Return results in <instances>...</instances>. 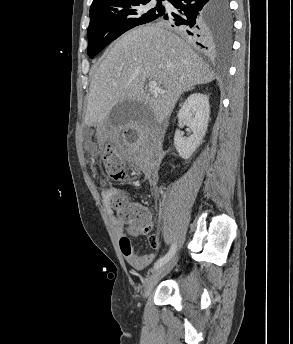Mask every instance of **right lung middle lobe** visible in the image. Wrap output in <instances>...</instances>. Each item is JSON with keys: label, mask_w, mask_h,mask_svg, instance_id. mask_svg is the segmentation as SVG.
Listing matches in <instances>:
<instances>
[{"label": "right lung middle lobe", "mask_w": 293, "mask_h": 344, "mask_svg": "<svg viewBox=\"0 0 293 344\" xmlns=\"http://www.w3.org/2000/svg\"><path fill=\"white\" fill-rule=\"evenodd\" d=\"M151 0H118L90 10L88 27V55L94 58L110 42L131 28L163 17L165 9L161 0L150 8ZM217 28L213 44L228 46L231 30V15L228 0H216L213 15Z\"/></svg>", "instance_id": "right-lung-middle-lobe-1"}]
</instances>
